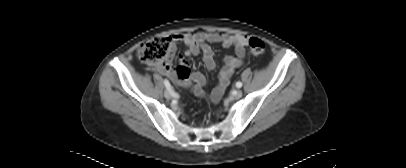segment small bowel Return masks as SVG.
Segmentation results:
<instances>
[{
	"label": "small bowel",
	"mask_w": 406,
	"mask_h": 168,
	"mask_svg": "<svg viewBox=\"0 0 406 168\" xmlns=\"http://www.w3.org/2000/svg\"><path fill=\"white\" fill-rule=\"evenodd\" d=\"M172 39L173 41L186 46L184 55L179 56L180 67H184L185 71L178 74L173 68L174 46L166 62L153 65L152 69L159 74L170 77L177 85L190 86L194 83L192 91L196 96L206 98L211 102L219 101L227 89L235 70L244 62V46L247 44L248 37L244 35H228L217 32H197L177 34L173 36ZM211 44H220L224 48L234 47L236 56L226 55L224 57L223 66L218 76V83L211 94L207 95L204 91V86L206 84L205 77L200 73H191L186 58L202 53L203 62L206 68L209 70L214 69L216 67V61L214 52L210 46Z\"/></svg>",
	"instance_id": "obj_1"
}]
</instances>
